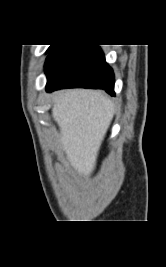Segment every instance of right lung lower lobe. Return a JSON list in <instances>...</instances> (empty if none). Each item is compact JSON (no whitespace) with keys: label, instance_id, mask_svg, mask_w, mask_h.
<instances>
[{"label":"right lung lower lobe","instance_id":"right-lung-lower-lobe-1","mask_svg":"<svg viewBox=\"0 0 166 267\" xmlns=\"http://www.w3.org/2000/svg\"><path fill=\"white\" fill-rule=\"evenodd\" d=\"M46 91L62 88L103 89L114 92V73L98 45H54L45 63Z\"/></svg>","mask_w":166,"mask_h":267}]
</instances>
